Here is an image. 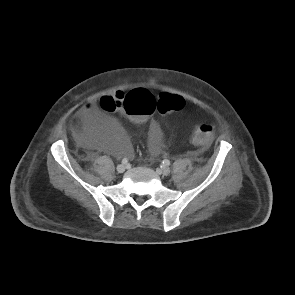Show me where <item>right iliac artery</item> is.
<instances>
[{
	"label": "right iliac artery",
	"mask_w": 295,
	"mask_h": 295,
	"mask_svg": "<svg viewBox=\"0 0 295 295\" xmlns=\"http://www.w3.org/2000/svg\"><path fill=\"white\" fill-rule=\"evenodd\" d=\"M127 162H128L127 158H124V159L122 160V163H123V164H127Z\"/></svg>",
	"instance_id": "right-iliac-artery-1"
}]
</instances>
